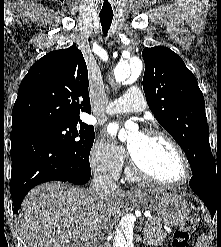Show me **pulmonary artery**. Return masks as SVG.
I'll return each instance as SVG.
<instances>
[{"label":"pulmonary artery","mask_w":221,"mask_h":247,"mask_svg":"<svg viewBox=\"0 0 221 247\" xmlns=\"http://www.w3.org/2000/svg\"><path fill=\"white\" fill-rule=\"evenodd\" d=\"M146 109V101L140 89L132 86L119 99L111 102L105 109L109 115L125 112H141Z\"/></svg>","instance_id":"obj_1"}]
</instances>
